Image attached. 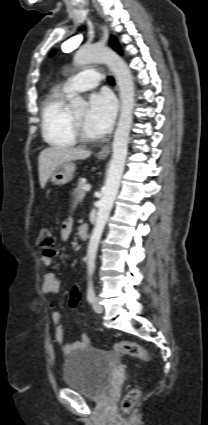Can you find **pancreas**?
Listing matches in <instances>:
<instances>
[{
	"label": "pancreas",
	"mask_w": 208,
	"mask_h": 425,
	"mask_svg": "<svg viewBox=\"0 0 208 425\" xmlns=\"http://www.w3.org/2000/svg\"><path fill=\"white\" fill-rule=\"evenodd\" d=\"M86 185V181L83 179H80L78 181V186L76 188V190L74 191V208L84 199L85 197V191H84V186Z\"/></svg>",
	"instance_id": "1"
}]
</instances>
